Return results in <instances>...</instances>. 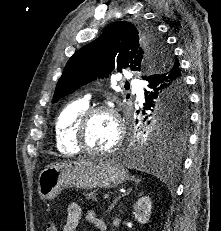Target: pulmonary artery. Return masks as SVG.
Masks as SVG:
<instances>
[{"mask_svg": "<svg viewBox=\"0 0 221 231\" xmlns=\"http://www.w3.org/2000/svg\"><path fill=\"white\" fill-rule=\"evenodd\" d=\"M129 83H130V85H132L133 88H135L136 85H137V83H138V81L136 79H134V78H129ZM89 99H90V96L87 95L85 97V100L88 101Z\"/></svg>", "mask_w": 221, "mask_h": 231, "instance_id": "1", "label": "pulmonary artery"}]
</instances>
